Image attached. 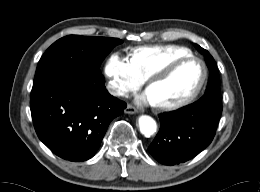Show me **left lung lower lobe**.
I'll return each instance as SVG.
<instances>
[{
  "mask_svg": "<svg viewBox=\"0 0 260 192\" xmlns=\"http://www.w3.org/2000/svg\"><path fill=\"white\" fill-rule=\"evenodd\" d=\"M222 112L220 97L205 96L176 113L160 115V130L150 154L165 165L185 162L213 140Z\"/></svg>",
  "mask_w": 260,
  "mask_h": 192,
  "instance_id": "obj_1",
  "label": "left lung lower lobe"
}]
</instances>
